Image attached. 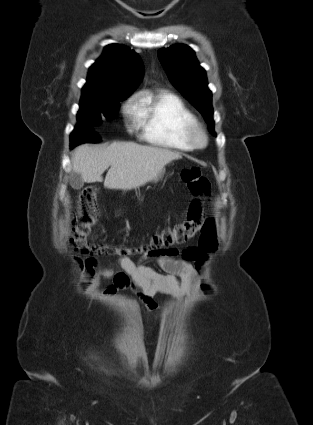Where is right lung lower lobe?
<instances>
[{
    "instance_id": "98d812e1",
    "label": "right lung lower lobe",
    "mask_w": 313,
    "mask_h": 425,
    "mask_svg": "<svg viewBox=\"0 0 313 425\" xmlns=\"http://www.w3.org/2000/svg\"><path fill=\"white\" fill-rule=\"evenodd\" d=\"M71 136L77 137L79 139V141H81V143H83V142H99L100 141L99 137L95 133L90 131L88 126H84V125L76 128L71 133ZM77 145H75V146H77ZM75 146H71V148H73Z\"/></svg>"
}]
</instances>
